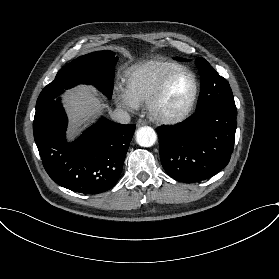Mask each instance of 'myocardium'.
I'll use <instances>...</instances> for the list:
<instances>
[{"label":"myocardium","instance_id":"1","mask_svg":"<svg viewBox=\"0 0 279 279\" xmlns=\"http://www.w3.org/2000/svg\"><path fill=\"white\" fill-rule=\"evenodd\" d=\"M187 73L193 79V91L182 109L175 114H167L161 110V104L171 83L181 74ZM199 93V82L196 75L189 69H180L164 78L159 87L155 90L148 103V110L150 116L158 123L164 125H176L186 120L195 107Z\"/></svg>","mask_w":279,"mask_h":279}]
</instances>
